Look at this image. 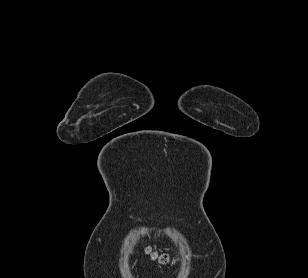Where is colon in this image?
Listing matches in <instances>:
<instances>
[{"mask_svg":"<svg viewBox=\"0 0 308 278\" xmlns=\"http://www.w3.org/2000/svg\"><path fill=\"white\" fill-rule=\"evenodd\" d=\"M145 254L152 260L159 264H166L169 261V257L166 254H158L150 248L145 249Z\"/></svg>","mask_w":308,"mask_h":278,"instance_id":"5ec220e1","label":"colon"}]
</instances>
